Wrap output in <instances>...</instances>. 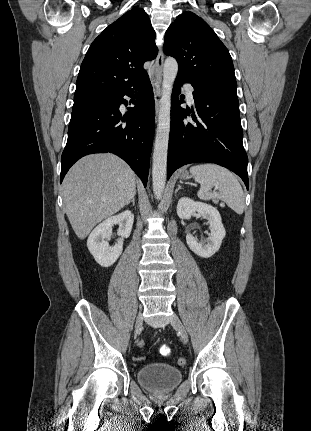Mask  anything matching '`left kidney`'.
Instances as JSON below:
<instances>
[{
  "mask_svg": "<svg viewBox=\"0 0 311 431\" xmlns=\"http://www.w3.org/2000/svg\"><path fill=\"white\" fill-rule=\"evenodd\" d=\"M198 214V216L208 219L210 225L209 237L205 241H198L193 237L192 233H187L186 241L197 255L200 257H211L213 253L218 251L223 237L226 235L225 227L222 223V217L220 216L218 210L209 206V204H203V202H194L190 198H180L177 204V214L181 219H190L193 214Z\"/></svg>",
  "mask_w": 311,
  "mask_h": 431,
  "instance_id": "left-kidney-1",
  "label": "left kidney"
}]
</instances>
